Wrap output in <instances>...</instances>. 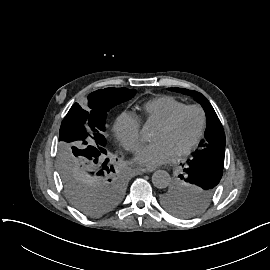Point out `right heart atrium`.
I'll list each match as a JSON object with an SVG mask.
<instances>
[{
  "label": "right heart atrium",
  "instance_id": "1",
  "mask_svg": "<svg viewBox=\"0 0 270 270\" xmlns=\"http://www.w3.org/2000/svg\"><path fill=\"white\" fill-rule=\"evenodd\" d=\"M113 132L126 151L135 152L140 147V121L136 116L130 113L119 115L114 123Z\"/></svg>",
  "mask_w": 270,
  "mask_h": 270
}]
</instances>
